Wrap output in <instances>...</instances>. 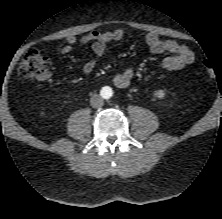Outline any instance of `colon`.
I'll return each instance as SVG.
<instances>
[{"label":"colon","instance_id":"obj_1","mask_svg":"<svg viewBox=\"0 0 222 219\" xmlns=\"http://www.w3.org/2000/svg\"><path fill=\"white\" fill-rule=\"evenodd\" d=\"M203 69L208 78L215 77V69L208 61L203 62ZM50 75V61L38 50H30L22 58L18 66V76L23 80H44Z\"/></svg>","mask_w":222,"mask_h":219}]
</instances>
